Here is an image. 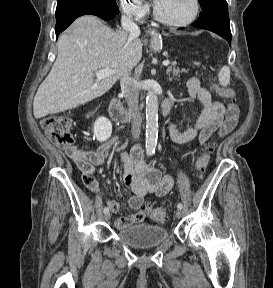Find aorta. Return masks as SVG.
Masks as SVG:
<instances>
[{
    "label": "aorta",
    "instance_id": "762f6f07",
    "mask_svg": "<svg viewBox=\"0 0 273 288\" xmlns=\"http://www.w3.org/2000/svg\"><path fill=\"white\" fill-rule=\"evenodd\" d=\"M158 137V99L153 91L146 97V153L153 154Z\"/></svg>",
    "mask_w": 273,
    "mask_h": 288
}]
</instances>
